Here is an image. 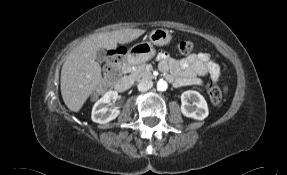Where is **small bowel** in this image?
<instances>
[{"mask_svg": "<svg viewBox=\"0 0 287 175\" xmlns=\"http://www.w3.org/2000/svg\"><path fill=\"white\" fill-rule=\"evenodd\" d=\"M159 69L163 72L169 71L166 78L174 82L178 87L188 85H201V76L210 73L217 78L219 66L211 59L207 52L192 54L184 59H175L165 51L157 55Z\"/></svg>", "mask_w": 287, "mask_h": 175, "instance_id": "1", "label": "small bowel"}]
</instances>
